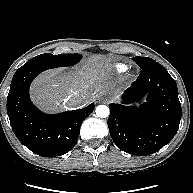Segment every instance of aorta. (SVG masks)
<instances>
[{
  "instance_id": "1",
  "label": "aorta",
  "mask_w": 193,
  "mask_h": 193,
  "mask_svg": "<svg viewBox=\"0 0 193 193\" xmlns=\"http://www.w3.org/2000/svg\"><path fill=\"white\" fill-rule=\"evenodd\" d=\"M96 115L100 118H106L109 116L110 110L106 105H99L96 107Z\"/></svg>"
}]
</instances>
